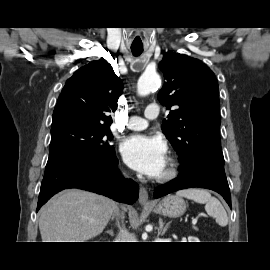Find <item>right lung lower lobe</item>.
Returning <instances> with one entry per match:
<instances>
[{
  "instance_id": "1",
  "label": "right lung lower lobe",
  "mask_w": 270,
  "mask_h": 270,
  "mask_svg": "<svg viewBox=\"0 0 270 270\" xmlns=\"http://www.w3.org/2000/svg\"><path fill=\"white\" fill-rule=\"evenodd\" d=\"M117 164L116 156L105 160L89 151L62 153L49 158L37 211L54 194L68 188L83 189L133 204L138 199V184L120 177Z\"/></svg>"
}]
</instances>
